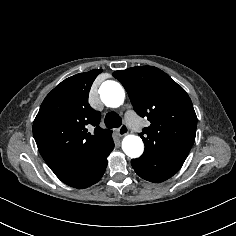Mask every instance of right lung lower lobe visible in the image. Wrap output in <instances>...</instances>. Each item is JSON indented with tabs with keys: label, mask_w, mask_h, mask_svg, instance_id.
I'll return each mask as SVG.
<instances>
[{
	"label": "right lung lower lobe",
	"mask_w": 236,
	"mask_h": 236,
	"mask_svg": "<svg viewBox=\"0 0 236 236\" xmlns=\"http://www.w3.org/2000/svg\"><path fill=\"white\" fill-rule=\"evenodd\" d=\"M113 148L114 143L111 139L105 148L95 153L88 162L53 172L62 182L71 187L87 188L98 182L103 176L107 166V157Z\"/></svg>",
	"instance_id": "obj_1"
}]
</instances>
